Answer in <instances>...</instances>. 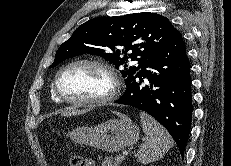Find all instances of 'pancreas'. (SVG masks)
<instances>
[{
  "label": "pancreas",
  "instance_id": "cf45deb5",
  "mask_svg": "<svg viewBox=\"0 0 231 166\" xmlns=\"http://www.w3.org/2000/svg\"><path fill=\"white\" fill-rule=\"evenodd\" d=\"M123 161V158L116 156L115 159L112 157H106L102 160V166H118Z\"/></svg>",
  "mask_w": 231,
  "mask_h": 166
}]
</instances>
